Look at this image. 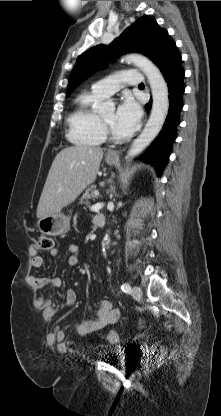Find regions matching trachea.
<instances>
[{
    "instance_id": "1",
    "label": "trachea",
    "mask_w": 221,
    "mask_h": 416,
    "mask_svg": "<svg viewBox=\"0 0 221 416\" xmlns=\"http://www.w3.org/2000/svg\"><path fill=\"white\" fill-rule=\"evenodd\" d=\"M142 86H144V84H143V83L139 84V87H142Z\"/></svg>"
}]
</instances>
